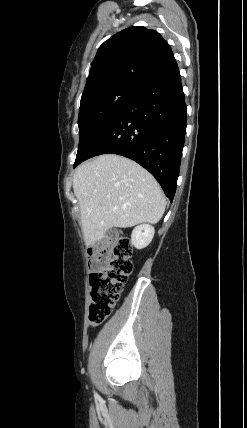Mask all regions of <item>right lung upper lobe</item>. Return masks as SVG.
I'll use <instances>...</instances> for the list:
<instances>
[{"label":"right lung upper lobe","instance_id":"right-lung-upper-lobe-1","mask_svg":"<svg viewBox=\"0 0 247 428\" xmlns=\"http://www.w3.org/2000/svg\"><path fill=\"white\" fill-rule=\"evenodd\" d=\"M175 64L171 47L157 31L131 27L99 47L82 95L113 86L141 91Z\"/></svg>","mask_w":247,"mask_h":428}]
</instances>
